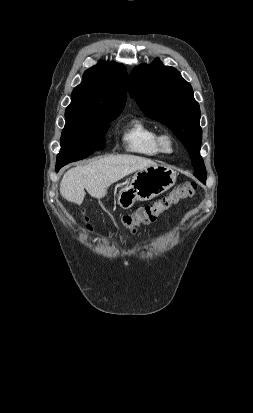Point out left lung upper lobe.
<instances>
[{"mask_svg": "<svg viewBox=\"0 0 253 413\" xmlns=\"http://www.w3.org/2000/svg\"><path fill=\"white\" fill-rule=\"evenodd\" d=\"M128 90L146 116L168 126L184 144L193 164L194 176L205 183L206 170L200 155V108L191 85L177 69L164 66L156 59L132 70Z\"/></svg>", "mask_w": 253, "mask_h": 413, "instance_id": "obj_1", "label": "left lung upper lobe"}]
</instances>
